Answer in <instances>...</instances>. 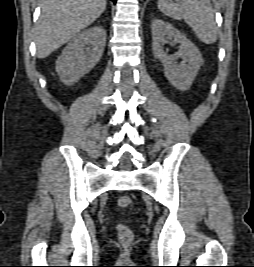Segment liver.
Here are the masks:
<instances>
[{"instance_id":"6515ba94","label":"liver","mask_w":254,"mask_h":267,"mask_svg":"<svg viewBox=\"0 0 254 267\" xmlns=\"http://www.w3.org/2000/svg\"><path fill=\"white\" fill-rule=\"evenodd\" d=\"M35 28L37 57L44 59L92 24L106 9V0H41Z\"/></svg>"}]
</instances>
